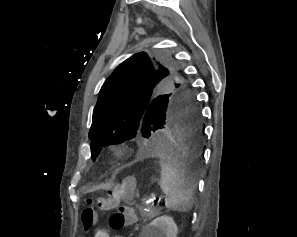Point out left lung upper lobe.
<instances>
[{"instance_id": "obj_1", "label": "left lung upper lobe", "mask_w": 297, "mask_h": 237, "mask_svg": "<svg viewBox=\"0 0 297 237\" xmlns=\"http://www.w3.org/2000/svg\"><path fill=\"white\" fill-rule=\"evenodd\" d=\"M182 100L197 104L192 87L173 58L164 52L132 55L100 90L89 131L92 159L96 160L102 146L128 140L140 153L162 118Z\"/></svg>"}]
</instances>
